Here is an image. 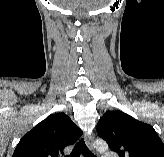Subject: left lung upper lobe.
Wrapping results in <instances>:
<instances>
[{
	"instance_id": "5c2ea615",
	"label": "left lung upper lobe",
	"mask_w": 164,
	"mask_h": 157,
	"mask_svg": "<svg viewBox=\"0 0 164 157\" xmlns=\"http://www.w3.org/2000/svg\"><path fill=\"white\" fill-rule=\"evenodd\" d=\"M97 131L119 157H164V144L151 125L122 111H108Z\"/></svg>"
}]
</instances>
